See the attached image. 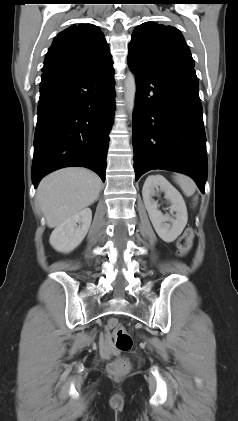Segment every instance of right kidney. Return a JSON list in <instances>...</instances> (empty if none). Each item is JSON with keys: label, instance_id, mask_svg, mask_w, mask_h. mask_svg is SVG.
Segmentation results:
<instances>
[{"label": "right kidney", "instance_id": "obj_1", "mask_svg": "<svg viewBox=\"0 0 238 421\" xmlns=\"http://www.w3.org/2000/svg\"><path fill=\"white\" fill-rule=\"evenodd\" d=\"M91 221V209L84 208L54 229L49 239L51 246L62 253L73 251L85 238Z\"/></svg>", "mask_w": 238, "mask_h": 421}]
</instances>
